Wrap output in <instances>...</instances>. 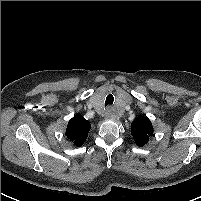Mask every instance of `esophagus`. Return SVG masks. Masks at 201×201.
Instances as JSON below:
<instances>
[{"label":"esophagus","instance_id":"esophagus-1","mask_svg":"<svg viewBox=\"0 0 201 201\" xmlns=\"http://www.w3.org/2000/svg\"><path fill=\"white\" fill-rule=\"evenodd\" d=\"M105 116H106V117H110V110H109V109L106 110Z\"/></svg>","mask_w":201,"mask_h":201}]
</instances>
